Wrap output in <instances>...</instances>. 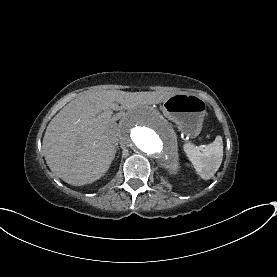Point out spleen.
<instances>
[{
  "mask_svg": "<svg viewBox=\"0 0 277 277\" xmlns=\"http://www.w3.org/2000/svg\"><path fill=\"white\" fill-rule=\"evenodd\" d=\"M183 150L196 171L203 179H209L216 173L223 157V141L221 136H216L212 143L198 149L191 143H185Z\"/></svg>",
  "mask_w": 277,
  "mask_h": 277,
  "instance_id": "obj_1",
  "label": "spleen"
}]
</instances>
